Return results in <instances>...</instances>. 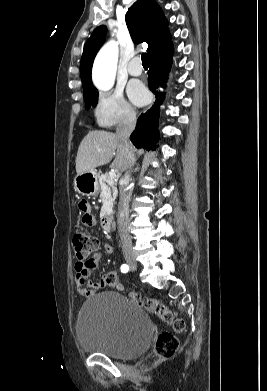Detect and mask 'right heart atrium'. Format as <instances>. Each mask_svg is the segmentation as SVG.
<instances>
[{
	"label": "right heart atrium",
	"instance_id": "right-heart-atrium-1",
	"mask_svg": "<svg viewBox=\"0 0 267 391\" xmlns=\"http://www.w3.org/2000/svg\"><path fill=\"white\" fill-rule=\"evenodd\" d=\"M93 115L96 123L107 129L131 124L136 119L134 107L120 91L102 92L94 106Z\"/></svg>",
	"mask_w": 267,
	"mask_h": 391
}]
</instances>
